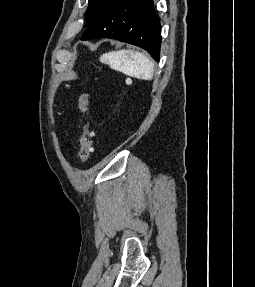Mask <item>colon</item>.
<instances>
[{
	"label": "colon",
	"instance_id": "5ec220e1",
	"mask_svg": "<svg viewBox=\"0 0 255 287\" xmlns=\"http://www.w3.org/2000/svg\"><path fill=\"white\" fill-rule=\"evenodd\" d=\"M78 107L83 116L82 130L79 137V158L83 164L87 163L92 153L93 131L89 121V94L83 93L78 100Z\"/></svg>",
	"mask_w": 255,
	"mask_h": 287
}]
</instances>
